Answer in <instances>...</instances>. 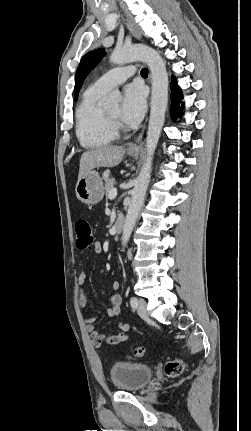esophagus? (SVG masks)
I'll return each instance as SVG.
<instances>
[{
  "instance_id": "obj_1",
  "label": "esophagus",
  "mask_w": 251,
  "mask_h": 431,
  "mask_svg": "<svg viewBox=\"0 0 251 431\" xmlns=\"http://www.w3.org/2000/svg\"><path fill=\"white\" fill-rule=\"evenodd\" d=\"M127 27L130 31V33L133 35V37L140 39L141 35L140 32L138 30V28L135 26V24L128 18L125 19ZM142 134L143 132H141L138 137L136 138L135 142L130 144L129 146V150H137L139 147V143L141 142L142 139Z\"/></svg>"
}]
</instances>
